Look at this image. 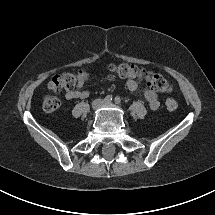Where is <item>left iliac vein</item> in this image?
Returning <instances> with one entry per match:
<instances>
[{
    "label": "left iliac vein",
    "instance_id": "4c4485c4",
    "mask_svg": "<svg viewBox=\"0 0 215 215\" xmlns=\"http://www.w3.org/2000/svg\"><path fill=\"white\" fill-rule=\"evenodd\" d=\"M112 103L110 101H104V105H111Z\"/></svg>",
    "mask_w": 215,
    "mask_h": 215
}]
</instances>
